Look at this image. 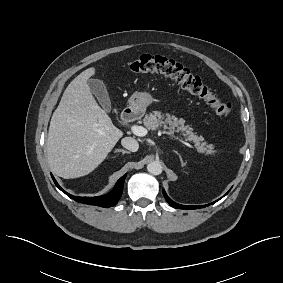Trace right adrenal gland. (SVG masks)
<instances>
[{
	"mask_svg": "<svg viewBox=\"0 0 283 283\" xmlns=\"http://www.w3.org/2000/svg\"><path fill=\"white\" fill-rule=\"evenodd\" d=\"M115 152H121L123 155L126 153V154H130L129 151H126L124 149H117Z\"/></svg>",
	"mask_w": 283,
	"mask_h": 283,
	"instance_id": "2a0ac1e0",
	"label": "right adrenal gland"
}]
</instances>
